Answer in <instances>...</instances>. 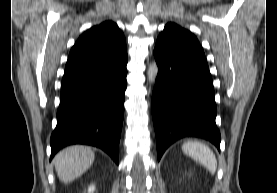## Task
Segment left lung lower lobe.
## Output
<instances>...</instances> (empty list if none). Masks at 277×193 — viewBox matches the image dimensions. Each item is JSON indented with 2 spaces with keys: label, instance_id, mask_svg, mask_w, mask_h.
Here are the masks:
<instances>
[{
  "label": "left lung lower lobe",
  "instance_id": "obj_1",
  "mask_svg": "<svg viewBox=\"0 0 277 193\" xmlns=\"http://www.w3.org/2000/svg\"><path fill=\"white\" fill-rule=\"evenodd\" d=\"M158 76L152 93V117L158 160L183 137H200L220 149L213 81L205 56L179 50L157 39Z\"/></svg>",
  "mask_w": 277,
  "mask_h": 193
}]
</instances>
